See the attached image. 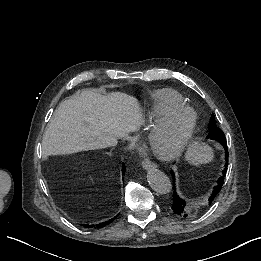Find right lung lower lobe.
I'll use <instances>...</instances> for the list:
<instances>
[{
  "instance_id": "1",
  "label": "right lung lower lobe",
  "mask_w": 261,
  "mask_h": 261,
  "mask_svg": "<svg viewBox=\"0 0 261 261\" xmlns=\"http://www.w3.org/2000/svg\"><path fill=\"white\" fill-rule=\"evenodd\" d=\"M125 166L123 164L122 166V174H125ZM118 215H116L114 218H112L111 220H108V221H105V222H102V223H99V224H93V225H85L87 227H91V228H95V229H99V228H102L106 225H108L109 223H111Z\"/></svg>"
}]
</instances>
